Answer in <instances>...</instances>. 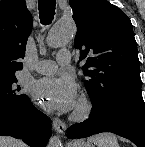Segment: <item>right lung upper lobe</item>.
<instances>
[{"instance_id": "1", "label": "right lung upper lobe", "mask_w": 145, "mask_h": 147, "mask_svg": "<svg viewBox=\"0 0 145 147\" xmlns=\"http://www.w3.org/2000/svg\"><path fill=\"white\" fill-rule=\"evenodd\" d=\"M32 29V15L25 0L0 2V76L22 69L27 39Z\"/></svg>"}]
</instances>
